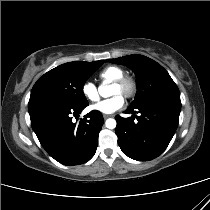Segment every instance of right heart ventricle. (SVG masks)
Returning a JSON list of instances; mask_svg holds the SVG:
<instances>
[{
  "label": "right heart ventricle",
  "instance_id": "e07e8e85",
  "mask_svg": "<svg viewBox=\"0 0 210 210\" xmlns=\"http://www.w3.org/2000/svg\"><path fill=\"white\" fill-rule=\"evenodd\" d=\"M124 74V70L120 67L107 66L98 73V78L102 83H112Z\"/></svg>",
  "mask_w": 210,
  "mask_h": 210
}]
</instances>
